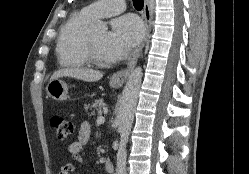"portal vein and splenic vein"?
<instances>
[{
	"label": "portal vein and splenic vein",
	"mask_w": 249,
	"mask_h": 174,
	"mask_svg": "<svg viewBox=\"0 0 249 174\" xmlns=\"http://www.w3.org/2000/svg\"><path fill=\"white\" fill-rule=\"evenodd\" d=\"M104 121H105V118H104L103 116H99V117L97 118V120H96V123H97V124H102V123H104Z\"/></svg>",
	"instance_id": "1"
}]
</instances>
